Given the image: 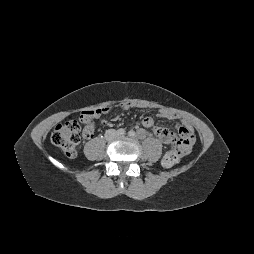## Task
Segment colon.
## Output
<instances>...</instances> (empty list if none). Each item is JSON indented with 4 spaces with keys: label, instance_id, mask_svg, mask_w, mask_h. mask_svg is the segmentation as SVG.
Wrapping results in <instances>:
<instances>
[{
    "label": "colon",
    "instance_id": "obj_1",
    "mask_svg": "<svg viewBox=\"0 0 254 254\" xmlns=\"http://www.w3.org/2000/svg\"><path fill=\"white\" fill-rule=\"evenodd\" d=\"M98 112H101V110L83 113L81 116V120L84 123L83 126L74 118H69L57 125L51 135L53 144L59 147L66 156H76L82 138L90 137L94 131V124L89 122L88 119ZM180 158V153L176 149H171L166 153L163 163L167 166H173L179 162Z\"/></svg>",
    "mask_w": 254,
    "mask_h": 254
}]
</instances>
